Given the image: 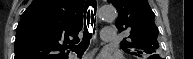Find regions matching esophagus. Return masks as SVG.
<instances>
[{
  "mask_svg": "<svg viewBox=\"0 0 193 59\" xmlns=\"http://www.w3.org/2000/svg\"><path fill=\"white\" fill-rule=\"evenodd\" d=\"M91 2L96 3V5L98 6V1H91Z\"/></svg>",
  "mask_w": 193,
  "mask_h": 59,
  "instance_id": "esophagus-1",
  "label": "esophagus"
}]
</instances>
